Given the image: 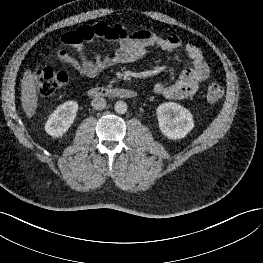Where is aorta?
Wrapping results in <instances>:
<instances>
[{
    "instance_id": "762f6f07",
    "label": "aorta",
    "mask_w": 263,
    "mask_h": 263,
    "mask_svg": "<svg viewBox=\"0 0 263 263\" xmlns=\"http://www.w3.org/2000/svg\"><path fill=\"white\" fill-rule=\"evenodd\" d=\"M114 110L118 114H124L127 112V104L124 101H117L114 106Z\"/></svg>"
}]
</instances>
